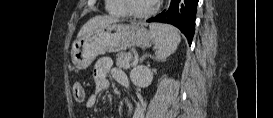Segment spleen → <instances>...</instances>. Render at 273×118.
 Segmentation results:
<instances>
[{
    "instance_id": "spleen-1",
    "label": "spleen",
    "mask_w": 273,
    "mask_h": 118,
    "mask_svg": "<svg viewBox=\"0 0 273 118\" xmlns=\"http://www.w3.org/2000/svg\"><path fill=\"white\" fill-rule=\"evenodd\" d=\"M150 34L155 44L158 60H164L174 53L181 40L176 28L166 24H151Z\"/></svg>"
}]
</instances>
